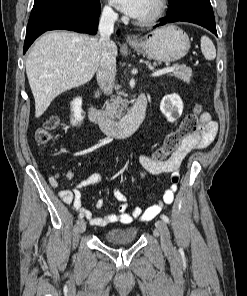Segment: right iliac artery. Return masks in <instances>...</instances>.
Returning a JSON list of instances; mask_svg holds the SVG:
<instances>
[{"label": "right iliac artery", "mask_w": 247, "mask_h": 296, "mask_svg": "<svg viewBox=\"0 0 247 296\" xmlns=\"http://www.w3.org/2000/svg\"><path fill=\"white\" fill-rule=\"evenodd\" d=\"M79 218H83V215L82 214H79Z\"/></svg>", "instance_id": "obj_1"}]
</instances>
